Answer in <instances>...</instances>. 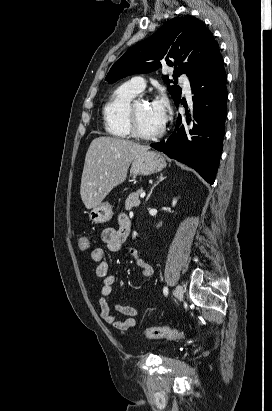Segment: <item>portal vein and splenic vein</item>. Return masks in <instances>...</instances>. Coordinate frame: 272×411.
<instances>
[{
	"instance_id": "18ae733b",
	"label": "portal vein and splenic vein",
	"mask_w": 272,
	"mask_h": 411,
	"mask_svg": "<svg viewBox=\"0 0 272 411\" xmlns=\"http://www.w3.org/2000/svg\"><path fill=\"white\" fill-rule=\"evenodd\" d=\"M145 195H146V193H145V192H142V193L140 194V198H144Z\"/></svg>"
}]
</instances>
